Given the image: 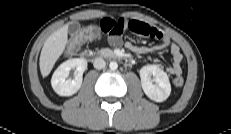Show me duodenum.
<instances>
[{
  "label": "duodenum",
  "instance_id": "410a0bca",
  "mask_svg": "<svg viewBox=\"0 0 231 134\" xmlns=\"http://www.w3.org/2000/svg\"><path fill=\"white\" fill-rule=\"evenodd\" d=\"M105 55L109 58H112V59L124 60L126 64L131 63V59L129 57H127L121 53H118V52H112V51L106 52ZM84 57L86 59H89V60H95L97 58V56L89 54V53H85Z\"/></svg>",
  "mask_w": 231,
  "mask_h": 134
}]
</instances>
